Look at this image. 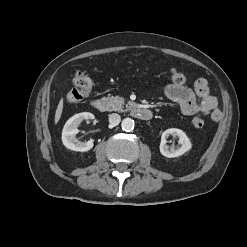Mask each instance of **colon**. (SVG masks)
I'll use <instances>...</instances> for the list:
<instances>
[{"label": "colon", "mask_w": 247, "mask_h": 247, "mask_svg": "<svg viewBox=\"0 0 247 247\" xmlns=\"http://www.w3.org/2000/svg\"><path fill=\"white\" fill-rule=\"evenodd\" d=\"M171 81L176 85H183L186 82V77L182 72L173 71ZM92 87L93 81L90 77L83 73H77L73 78L72 88L66 94V100L72 104L79 103L89 95ZM192 124L196 129H202L204 127V121L199 117L193 118Z\"/></svg>", "instance_id": "1"}]
</instances>
